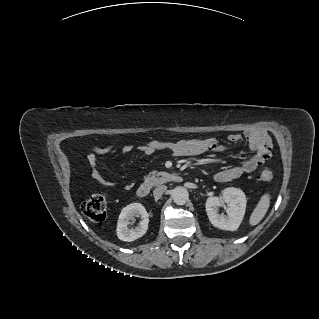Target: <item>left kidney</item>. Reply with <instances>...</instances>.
Listing matches in <instances>:
<instances>
[{"instance_id":"obj_1","label":"left kidney","mask_w":319,"mask_h":319,"mask_svg":"<svg viewBox=\"0 0 319 319\" xmlns=\"http://www.w3.org/2000/svg\"><path fill=\"white\" fill-rule=\"evenodd\" d=\"M227 204L226 214H219V207ZM246 196L241 189L230 187L222 192L221 197H209L205 208L209 221L214 227L227 231H236L246 210Z\"/></svg>"}]
</instances>
